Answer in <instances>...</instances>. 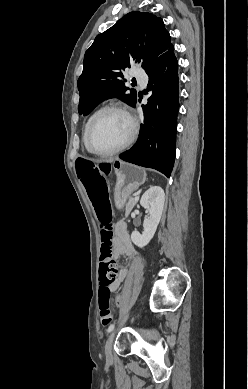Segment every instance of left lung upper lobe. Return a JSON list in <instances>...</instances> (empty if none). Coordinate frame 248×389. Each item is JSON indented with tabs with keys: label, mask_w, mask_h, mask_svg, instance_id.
<instances>
[{
	"label": "left lung upper lobe",
	"mask_w": 248,
	"mask_h": 389,
	"mask_svg": "<svg viewBox=\"0 0 248 389\" xmlns=\"http://www.w3.org/2000/svg\"><path fill=\"white\" fill-rule=\"evenodd\" d=\"M171 45L163 20L148 12H130L97 35L85 53L78 79L79 114L88 115L101 101L113 97L133 106L136 90L129 93L121 71L141 60L143 69L148 71Z\"/></svg>",
	"instance_id": "obj_1"
}]
</instances>
